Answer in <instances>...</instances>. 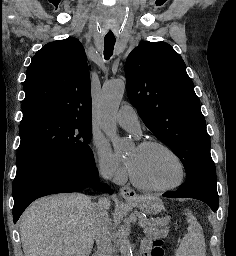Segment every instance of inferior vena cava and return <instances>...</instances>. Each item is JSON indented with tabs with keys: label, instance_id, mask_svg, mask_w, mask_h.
<instances>
[{
	"label": "inferior vena cava",
	"instance_id": "1",
	"mask_svg": "<svg viewBox=\"0 0 236 256\" xmlns=\"http://www.w3.org/2000/svg\"><path fill=\"white\" fill-rule=\"evenodd\" d=\"M100 176L105 178V180H110L112 174L109 172L108 168L105 166H100L99 168ZM107 200L103 198V200H99V204L94 206L93 210H100V212H104V206H106ZM103 206V208H101ZM95 240H97V256H111V234L108 228V220H102L100 226L95 228Z\"/></svg>",
	"mask_w": 236,
	"mask_h": 256
}]
</instances>
